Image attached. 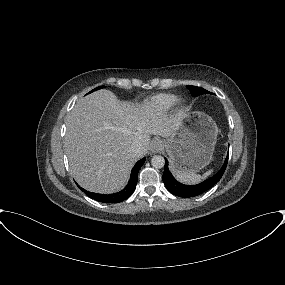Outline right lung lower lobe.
Masks as SVG:
<instances>
[{
	"mask_svg": "<svg viewBox=\"0 0 285 285\" xmlns=\"http://www.w3.org/2000/svg\"><path fill=\"white\" fill-rule=\"evenodd\" d=\"M145 158L139 160L135 166L133 167L131 171L130 180L127 184V186L120 192L114 193V194H98L86 191L82 188H80L87 196L90 198L100 201L102 203H119L121 201L126 200L128 197L132 195V193L135 191L137 179H138V172L141 168V166L144 164Z\"/></svg>",
	"mask_w": 285,
	"mask_h": 285,
	"instance_id": "98d812e1",
	"label": "right lung lower lobe"
}]
</instances>
